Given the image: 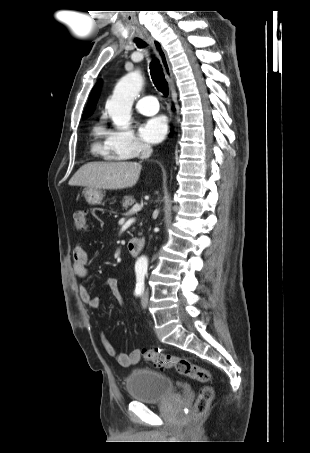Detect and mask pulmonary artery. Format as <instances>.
<instances>
[{
    "mask_svg": "<svg viewBox=\"0 0 310 453\" xmlns=\"http://www.w3.org/2000/svg\"><path fill=\"white\" fill-rule=\"evenodd\" d=\"M135 106L137 111L144 115H154L159 111L158 101L151 95L141 97Z\"/></svg>",
    "mask_w": 310,
    "mask_h": 453,
    "instance_id": "e3ab8cb5",
    "label": "pulmonary artery"
}]
</instances>
